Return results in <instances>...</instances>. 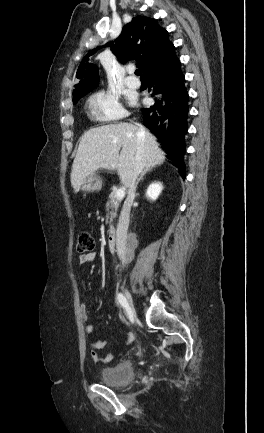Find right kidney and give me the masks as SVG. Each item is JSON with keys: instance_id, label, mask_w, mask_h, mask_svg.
I'll return each instance as SVG.
<instances>
[{"instance_id": "1", "label": "right kidney", "mask_w": 264, "mask_h": 433, "mask_svg": "<svg viewBox=\"0 0 264 433\" xmlns=\"http://www.w3.org/2000/svg\"><path fill=\"white\" fill-rule=\"evenodd\" d=\"M163 189L162 183L153 182L149 185L146 191V196L151 200H156Z\"/></svg>"}]
</instances>
